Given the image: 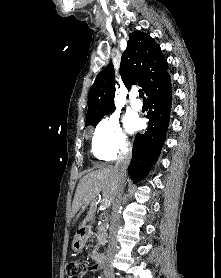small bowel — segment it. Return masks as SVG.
<instances>
[{
    "label": "small bowel",
    "mask_w": 221,
    "mask_h": 278,
    "mask_svg": "<svg viewBox=\"0 0 221 278\" xmlns=\"http://www.w3.org/2000/svg\"><path fill=\"white\" fill-rule=\"evenodd\" d=\"M96 271L95 267L92 266L89 273H94Z\"/></svg>",
    "instance_id": "c3829d8e"
}]
</instances>
